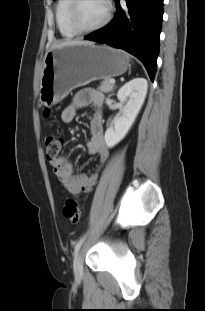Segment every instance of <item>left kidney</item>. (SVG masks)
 Instances as JSON below:
<instances>
[{
    "label": "left kidney",
    "instance_id": "1",
    "mask_svg": "<svg viewBox=\"0 0 205 311\" xmlns=\"http://www.w3.org/2000/svg\"><path fill=\"white\" fill-rule=\"evenodd\" d=\"M148 82L144 78H134L123 85L117 98L124 104L122 115L116 116L113 125L105 132V143L108 148L118 144L128 133L144 103Z\"/></svg>",
    "mask_w": 205,
    "mask_h": 311
}]
</instances>
